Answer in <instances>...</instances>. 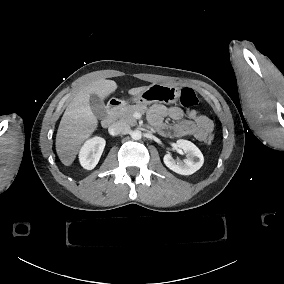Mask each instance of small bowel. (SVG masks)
I'll list each match as a JSON object with an SVG mask.
<instances>
[{"label":"small bowel","instance_id":"1","mask_svg":"<svg viewBox=\"0 0 284 284\" xmlns=\"http://www.w3.org/2000/svg\"><path fill=\"white\" fill-rule=\"evenodd\" d=\"M148 118L155 128L171 137L192 136L199 141H205L213 130L212 120L198 110L185 112L176 106L156 104L150 109ZM166 118L173 123H166Z\"/></svg>","mask_w":284,"mask_h":284}]
</instances>
